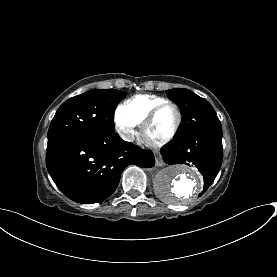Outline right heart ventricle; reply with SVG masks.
I'll return each mask as SVG.
<instances>
[{"mask_svg":"<svg viewBox=\"0 0 277 277\" xmlns=\"http://www.w3.org/2000/svg\"><path fill=\"white\" fill-rule=\"evenodd\" d=\"M166 101L168 100L154 95H135L121 105L118 114L130 117L140 124L155 106Z\"/></svg>","mask_w":277,"mask_h":277,"instance_id":"e07e8e85","label":"right heart ventricle"}]
</instances>
